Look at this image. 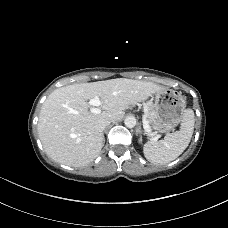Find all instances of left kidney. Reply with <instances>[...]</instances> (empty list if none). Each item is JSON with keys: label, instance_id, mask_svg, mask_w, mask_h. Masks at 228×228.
<instances>
[{"label": "left kidney", "instance_id": "obj_1", "mask_svg": "<svg viewBox=\"0 0 228 228\" xmlns=\"http://www.w3.org/2000/svg\"><path fill=\"white\" fill-rule=\"evenodd\" d=\"M141 142H142V138L140 137V138H139V143H141Z\"/></svg>", "mask_w": 228, "mask_h": 228}]
</instances>
